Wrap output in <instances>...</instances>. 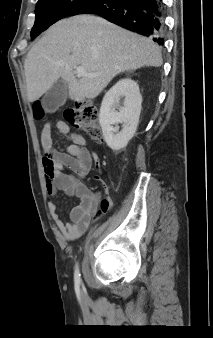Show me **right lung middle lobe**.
I'll list each match as a JSON object with an SVG mask.
<instances>
[{"mask_svg": "<svg viewBox=\"0 0 213 338\" xmlns=\"http://www.w3.org/2000/svg\"><path fill=\"white\" fill-rule=\"evenodd\" d=\"M90 1L92 0H39L35 9L36 19L31 31V39L33 40L58 20L72 15L76 9Z\"/></svg>", "mask_w": 213, "mask_h": 338, "instance_id": "obj_1", "label": "right lung middle lobe"}]
</instances>
